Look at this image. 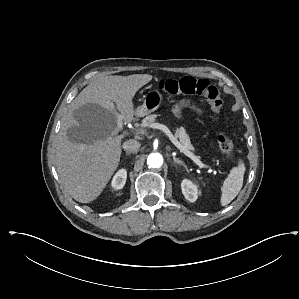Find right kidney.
Masks as SVG:
<instances>
[{
  "label": "right kidney",
  "mask_w": 299,
  "mask_h": 299,
  "mask_svg": "<svg viewBox=\"0 0 299 299\" xmlns=\"http://www.w3.org/2000/svg\"><path fill=\"white\" fill-rule=\"evenodd\" d=\"M127 172L125 169H120L113 177L111 186L113 189H122L126 183Z\"/></svg>",
  "instance_id": "1"
}]
</instances>
